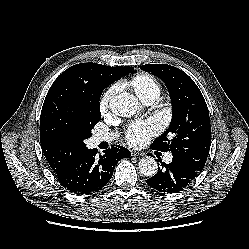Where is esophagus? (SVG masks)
<instances>
[{
	"label": "esophagus",
	"mask_w": 249,
	"mask_h": 249,
	"mask_svg": "<svg viewBox=\"0 0 249 249\" xmlns=\"http://www.w3.org/2000/svg\"><path fill=\"white\" fill-rule=\"evenodd\" d=\"M132 156H143V152H136V151H131Z\"/></svg>",
	"instance_id": "1"
}]
</instances>
